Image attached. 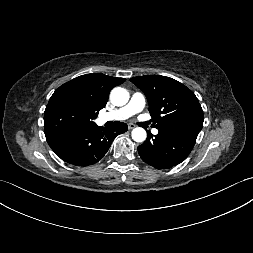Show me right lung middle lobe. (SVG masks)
Here are the masks:
<instances>
[{
    "mask_svg": "<svg viewBox=\"0 0 253 253\" xmlns=\"http://www.w3.org/2000/svg\"><path fill=\"white\" fill-rule=\"evenodd\" d=\"M97 114L73 94L55 91L44 112L45 136L74 131L94 125Z\"/></svg>",
    "mask_w": 253,
    "mask_h": 253,
    "instance_id": "1",
    "label": "right lung middle lobe"
}]
</instances>
